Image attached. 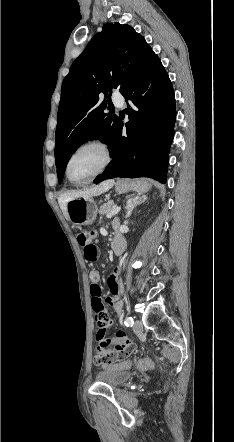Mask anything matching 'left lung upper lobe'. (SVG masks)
I'll list each match as a JSON object with an SVG mask.
<instances>
[{
  "label": "left lung upper lobe",
  "instance_id": "left-lung-upper-lobe-1",
  "mask_svg": "<svg viewBox=\"0 0 234 442\" xmlns=\"http://www.w3.org/2000/svg\"><path fill=\"white\" fill-rule=\"evenodd\" d=\"M154 52L131 26L105 24L73 62L65 77L58 108L55 163L62 181L68 160L88 140L100 139L110 150L119 118L104 113L113 88L122 93L141 73ZM108 93H110L108 95Z\"/></svg>",
  "mask_w": 234,
  "mask_h": 442
}]
</instances>
